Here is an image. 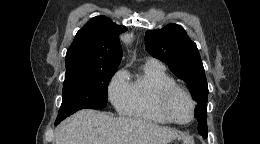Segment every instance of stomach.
Here are the masks:
<instances>
[{
  "instance_id": "stomach-1",
  "label": "stomach",
  "mask_w": 260,
  "mask_h": 144,
  "mask_svg": "<svg viewBox=\"0 0 260 144\" xmlns=\"http://www.w3.org/2000/svg\"><path fill=\"white\" fill-rule=\"evenodd\" d=\"M181 142V138H176V139H173L167 143H163V144H180Z\"/></svg>"
}]
</instances>
